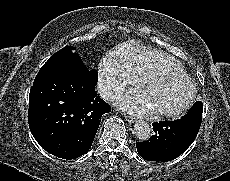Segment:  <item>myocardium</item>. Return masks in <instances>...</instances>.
Here are the masks:
<instances>
[{"label": "myocardium", "mask_w": 230, "mask_h": 181, "mask_svg": "<svg viewBox=\"0 0 230 181\" xmlns=\"http://www.w3.org/2000/svg\"><path fill=\"white\" fill-rule=\"evenodd\" d=\"M176 78V79H183L186 80L190 85V93L182 106L174 110H156L155 114L157 116L167 117V118H174L183 113H185L193 104L196 94H197V87L195 82L191 77H189L185 72H174L171 70H159L153 71L141 79L140 83V90L143 91L148 83L154 81L159 78Z\"/></svg>", "instance_id": "obj_1"}]
</instances>
